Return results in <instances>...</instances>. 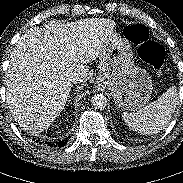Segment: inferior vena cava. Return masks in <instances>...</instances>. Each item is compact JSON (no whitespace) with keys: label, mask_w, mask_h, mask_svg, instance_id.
I'll return each mask as SVG.
<instances>
[{"label":"inferior vena cava","mask_w":183,"mask_h":183,"mask_svg":"<svg viewBox=\"0 0 183 183\" xmlns=\"http://www.w3.org/2000/svg\"><path fill=\"white\" fill-rule=\"evenodd\" d=\"M68 80L71 82V83H77V82H81V78L79 76L78 73H71L69 76H68Z\"/></svg>","instance_id":"inferior-vena-cava-1"}]
</instances>
